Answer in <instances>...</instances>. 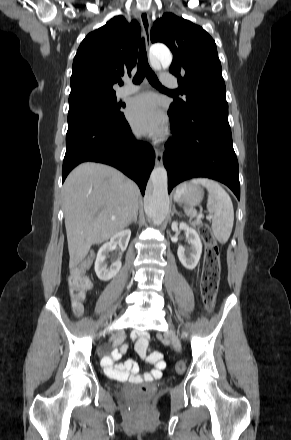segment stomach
<instances>
[{
    "label": "stomach",
    "mask_w": 291,
    "mask_h": 440,
    "mask_svg": "<svg viewBox=\"0 0 291 440\" xmlns=\"http://www.w3.org/2000/svg\"><path fill=\"white\" fill-rule=\"evenodd\" d=\"M204 196V191L199 186L191 183H184L179 186L174 194V200L190 206L198 205Z\"/></svg>",
    "instance_id": "1"
}]
</instances>
